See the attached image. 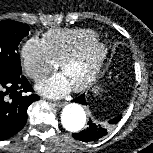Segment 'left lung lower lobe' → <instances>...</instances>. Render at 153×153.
I'll return each mask as SVG.
<instances>
[{
	"mask_svg": "<svg viewBox=\"0 0 153 153\" xmlns=\"http://www.w3.org/2000/svg\"><path fill=\"white\" fill-rule=\"evenodd\" d=\"M73 101L82 105H86L84 94L77 97ZM121 117L122 115H118L117 117L111 119L109 121V124H116L121 119ZM88 125L89 126L87 129L79 133H73L72 136L77 140L83 142H90V141H95L107 134V129L101 127L100 124L95 123L91 119H89Z\"/></svg>",
	"mask_w": 153,
	"mask_h": 153,
	"instance_id": "obj_1",
	"label": "left lung lower lobe"
}]
</instances>
